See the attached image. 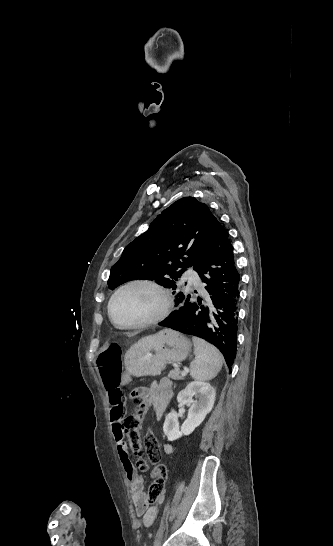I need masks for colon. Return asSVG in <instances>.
Here are the masks:
<instances>
[{
  "label": "colon",
  "instance_id": "obj_1",
  "mask_svg": "<svg viewBox=\"0 0 333 546\" xmlns=\"http://www.w3.org/2000/svg\"><path fill=\"white\" fill-rule=\"evenodd\" d=\"M96 364L99 369L103 384L111 394L112 402L121 400V392L118 389L121 383V348L117 343L106 345L98 354ZM147 402L143 399L134 400V408L124 422L123 428L128 437L129 446L134 455L138 457L137 467L141 472L149 470V464H155L153 471L155 477L149 486L146 500L148 503L161 502L164 498L167 468L159 464L161 451L156 437L147 432L141 434L143 417Z\"/></svg>",
  "mask_w": 333,
  "mask_h": 546
}]
</instances>
